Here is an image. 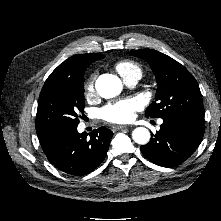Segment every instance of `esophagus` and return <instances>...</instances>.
Wrapping results in <instances>:
<instances>
[{"instance_id":"esophagus-1","label":"esophagus","mask_w":221,"mask_h":221,"mask_svg":"<svg viewBox=\"0 0 221 221\" xmlns=\"http://www.w3.org/2000/svg\"><path fill=\"white\" fill-rule=\"evenodd\" d=\"M127 129H129V127H128V126H124V125H117V126H113V127H112V130H113V131L127 130Z\"/></svg>"}]
</instances>
